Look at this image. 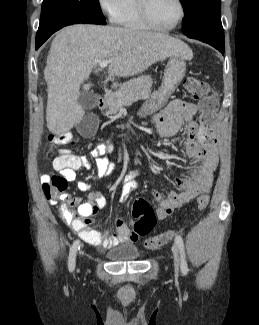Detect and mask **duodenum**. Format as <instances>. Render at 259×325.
I'll return each mask as SVG.
<instances>
[{"instance_id": "410a0bca", "label": "duodenum", "mask_w": 259, "mask_h": 325, "mask_svg": "<svg viewBox=\"0 0 259 325\" xmlns=\"http://www.w3.org/2000/svg\"><path fill=\"white\" fill-rule=\"evenodd\" d=\"M99 109H104L106 107V101L103 97H100L97 102Z\"/></svg>"}]
</instances>
